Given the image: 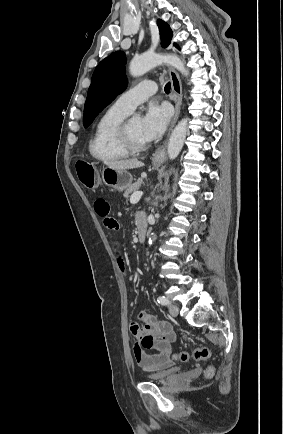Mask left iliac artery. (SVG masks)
Returning a JSON list of instances; mask_svg holds the SVG:
<instances>
[{
	"mask_svg": "<svg viewBox=\"0 0 283 434\" xmlns=\"http://www.w3.org/2000/svg\"><path fill=\"white\" fill-rule=\"evenodd\" d=\"M157 301H158V303H160L162 305H168L170 303L169 300L164 296H159L157 298Z\"/></svg>",
	"mask_w": 283,
	"mask_h": 434,
	"instance_id": "obj_1",
	"label": "left iliac artery"
}]
</instances>
